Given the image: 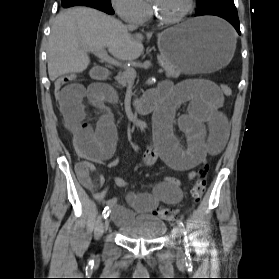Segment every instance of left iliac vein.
<instances>
[{
    "label": "left iliac vein",
    "instance_id": "left-iliac-vein-1",
    "mask_svg": "<svg viewBox=\"0 0 279 279\" xmlns=\"http://www.w3.org/2000/svg\"><path fill=\"white\" fill-rule=\"evenodd\" d=\"M173 233H174V235H175L177 238H180V237L182 236V234H183L182 231H181V228H180L178 225H176V226L174 227ZM179 255H180V256L182 255L181 250H179Z\"/></svg>",
    "mask_w": 279,
    "mask_h": 279
}]
</instances>
